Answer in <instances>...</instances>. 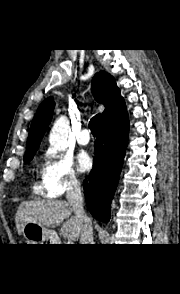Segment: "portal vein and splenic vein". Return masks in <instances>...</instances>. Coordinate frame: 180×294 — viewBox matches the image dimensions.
<instances>
[{"label": "portal vein and splenic vein", "mask_w": 180, "mask_h": 294, "mask_svg": "<svg viewBox=\"0 0 180 294\" xmlns=\"http://www.w3.org/2000/svg\"><path fill=\"white\" fill-rule=\"evenodd\" d=\"M68 244H72V242H68Z\"/></svg>", "instance_id": "obj_1"}]
</instances>
